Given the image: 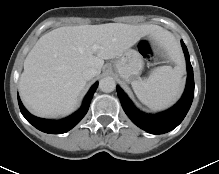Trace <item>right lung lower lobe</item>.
<instances>
[{"label": "right lung lower lobe", "instance_id": "98d812e1", "mask_svg": "<svg viewBox=\"0 0 219 174\" xmlns=\"http://www.w3.org/2000/svg\"><path fill=\"white\" fill-rule=\"evenodd\" d=\"M97 87H98V82H96L91 87V89L89 90L88 94L86 95L83 101L81 108L78 111H76L69 117L63 120H60L58 122L41 119V118L31 115L24 108L18 96L19 108H20L22 115L26 118V120L38 130L45 132V133H49V134H62L72 129L84 117V115L88 111L90 101Z\"/></svg>", "mask_w": 219, "mask_h": 174}]
</instances>
